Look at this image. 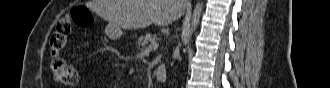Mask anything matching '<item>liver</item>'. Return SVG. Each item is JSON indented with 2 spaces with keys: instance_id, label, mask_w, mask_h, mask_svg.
<instances>
[{
  "instance_id": "1",
  "label": "liver",
  "mask_w": 330,
  "mask_h": 88,
  "mask_svg": "<svg viewBox=\"0 0 330 88\" xmlns=\"http://www.w3.org/2000/svg\"><path fill=\"white\" fill-rule=\"evenodd\" d=\"M97 12L118 28L139 29L150 24L166 26L178 20L187 0H99Z\"/></svg>"
}]
</instances>
